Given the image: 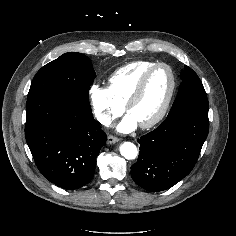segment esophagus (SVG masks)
I'll return each instance as SVG.
<instances>
[{
	"instance_id": "1",
	"label": "esophagus",
	"mask_w": 236,
	"mask_h": 236,
	"mask_svg": "<svg viewBox=\"0 0 236 236\" xmlns=\"http://www.w3.org/2000/svg\"><path fill=\"white\" fill-rule=\"evenodd\" d=\"M119 140H120L119 138H117V137H115V136H113V135H109V136L107 137V143H108V144L117 143Z\"/></svg>"
}]
</instances>
